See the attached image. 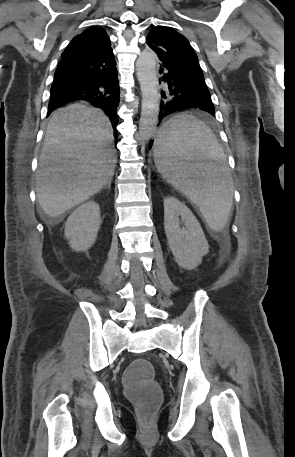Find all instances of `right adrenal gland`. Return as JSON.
Here are the masks:
<instances>
[{
  "label": "right adrenal gland",
  "mask_w": 295,
  "mask_h": 457,
  "mask_svg": "<svg viewBox=\"0 0 295 457\" xmlns=\"http://www.w3.org/2000/svg\"><path fill=\"white\" fill-rule=\"evenodd\" d=\"M108 188L110 190L111 188V181H109L105 186L104 189Z\"/></svg>",
  "instance_id": "2a0ac1e0"
}]
</instances>
